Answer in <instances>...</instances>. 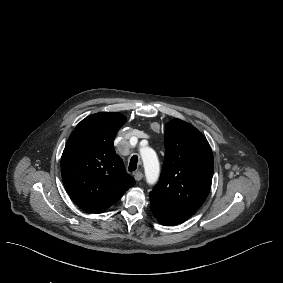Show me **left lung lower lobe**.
Wrapping results in <instances>:
<instances>
[{
  "label": "left lung lower lobe",
  "instance_id": "obj_1",
  "mask_svg": "<svg viewBox=\"0 0 283 283\" xmlns=\"http://www.w3.org/2000/svg\"><path fill=\"white\" fill-rule=\"evenodd\" d=\"M150 209L159 223L167 226L182 223L195 213L194 210L171 206L152 198H150Z\"/></svg>",
  "mask_w": 283,
  "mask_h": 283
}]
</instances>
